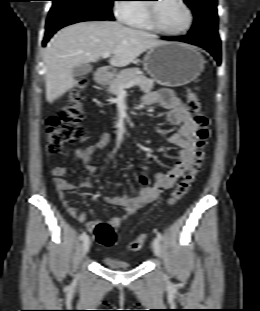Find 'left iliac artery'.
<instances>
[{
    "instance_id": "obj_1",
    "label": "left iliac artery",
    "mask_w": 260,
    "mask_h": 311,
    "mask_svg": "<svg viewBox=\"0 0 260 311\" xmlns=\"http://www.w3.org/2000/svg\"><path fill=\"white\" fill-rule=\"evenodd\" d=\"M157 238L161 241L162 240V234L160 232H157Z\"/></svg>"
}]
</instances>
